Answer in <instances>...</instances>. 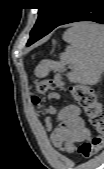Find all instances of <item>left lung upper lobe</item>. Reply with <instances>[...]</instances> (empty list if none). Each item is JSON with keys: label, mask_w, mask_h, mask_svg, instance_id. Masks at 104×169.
Segmentation results:
<instances>
[{"label": "left lung upper lobe", "mask_w": 104, "mask_h": 169, "mask_svg": "<svg viewBox=\"0 0 104 169\" xmlns=\"http://www.w3.org/2000/svg\"><path fill=\"white\" fill-rule=\"evenodd\" d=\"M48 6L39 9V16L31 33L34 31H52L74 9L77 0H44Z\"/></svg>", "instance_id": "obj_1"}]
</instances>
